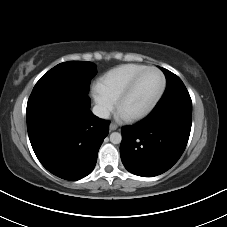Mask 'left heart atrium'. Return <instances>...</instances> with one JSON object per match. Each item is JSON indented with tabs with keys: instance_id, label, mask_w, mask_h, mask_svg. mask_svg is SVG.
<instances>
[{
	"instance_id": "left-heart-atrium-1",
	"label": "left heart atrium",
	"mask_w": 227,
	"mask_h": 227,
	"mask_svg": "<svg viewBox=\"0 0 227 227\" xmlns=\"http://www.w3.org/2000/svg\"><path fill=\"white\" fill-rule=\"evenodd\" d=\"M120 116L121 117H125L126 116V113L124 111H120Z\"/></svg>"
}]
</instances>
